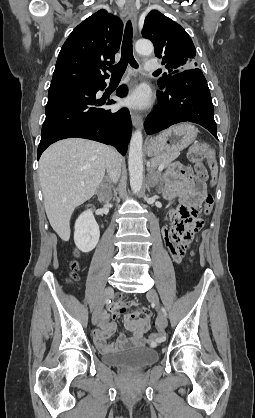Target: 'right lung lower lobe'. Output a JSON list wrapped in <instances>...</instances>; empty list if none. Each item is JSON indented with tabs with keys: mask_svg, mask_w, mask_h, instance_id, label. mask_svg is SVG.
I'll list each match as a JSON object with an SVG mask.
<instances>
[{
	"mask_svg": "<svg viewBox=\"0 0 255 418\" xmlns=\"http://www.w3.org/2000/svg\"><path fill=\"white\" fill-rule=\"evenodd\" d=\"M106 86L105 80L85 84L50 87L46 118L42 126L38 159L52 143L70 137H80L110 144L125 155L132 131L127 109L117 112L100 108L106 100L96 99V93ZM117 95L124 97L126 86ZM115 101H107V105Z\"/></svg>",
	"mask_w": 255,
	"mask_h": 418,
	"instance_id": "right-lung-lower-lobe-1",
	"label": "right lung lower lobe"
}]
</instances>
